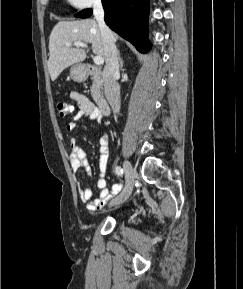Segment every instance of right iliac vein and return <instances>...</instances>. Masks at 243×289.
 <instances>
[{"label":"right iliac vein","mask_w":243,"mask_h":289,"mask_svg":"<svg viewBox=\"0 0 243 289\" xmlns=\"http://www.w3.org/2000/svg\"><path fill=\"white\" fill-rule=\"evenodd\" d=\"M123 167L125 172L126 185L121 194L110 201V206H118L124 203L132 193L136 171L129 161H125Z\"/></svg>","instance_id":"63e3f726"}]
</instances>
